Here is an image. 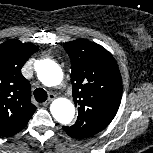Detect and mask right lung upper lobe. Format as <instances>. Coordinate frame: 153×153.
<instances>
[{"mask_svg": "<svg viewBox=\"0 0 153 153\" xmlns=\"http://www.w3.org/2000/svg\"><path fill=\"white\" fill-rule=\"evenodd\" d=\"M39 48L11 39L0 44V136L21 131L36 110L31 87L21 68Z\"/></svg>", "mask_w": 153, "mask_h": 153, "instance_id": "1", "label": "right lung upper lobe"}]
</instances>
